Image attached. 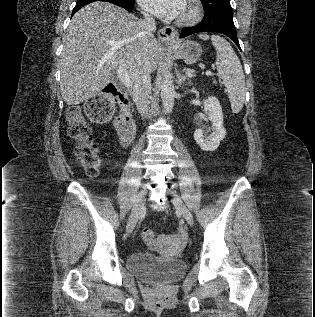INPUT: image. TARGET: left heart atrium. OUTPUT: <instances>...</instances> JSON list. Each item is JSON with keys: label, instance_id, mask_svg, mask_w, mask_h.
<instances>
[{"label": "left heart atrium", "instance_id": "obj_1", "mask_svg": "<svg viewBox=\"0 0 315 317\" xmlns=\"http://www.w3.org/2000/svg\"><path fill=\"white\" fill-rule=\"evenodd\" d=\"M147 11L160 18L172 19L179 16L186 0H139Z\"/></svg>", "mask_w": 315, "mask_h": 317}]
</instances>
